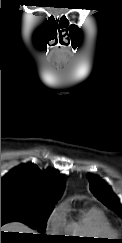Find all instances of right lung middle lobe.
Instances as JSON below:
<instances>
[{
    "label": "right lung middle lobe",
    "mask_w": 122,
    "mask_h": 243,
    "mask_svg": "<svg viewBox=\"0 0 122 243\" xmlns=\"http://www.w3.org/2000/svg\"><path fill=\"white\" fill-rule=\"evenodd\" d=\"M53 208L54 205L34 203L16 197H1V226L19 221L42 234ZM40 238H47V234L40 235Z\"/></svg>",
    "instance_id": "obj_1"
}]
</instances>
